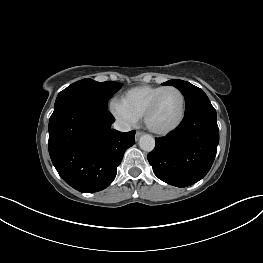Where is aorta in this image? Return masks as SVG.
Returning <instances> with one entry per match:
<instances>
[{"instance_id":"1","label":"aorta","mask_w":263,"mask_h":263,"mask_svg":"<svg viewBox=\"0 0 263 263\" xmlns=\"http://www.w3.org/2000/svg\"><path fill=\"white\" fill-rule=\"evenodd\" d=\"M139 146L142 150L150 152L155 147V139L148 134L142 135L139 140Z\"/></svg>"}]
</instances>
